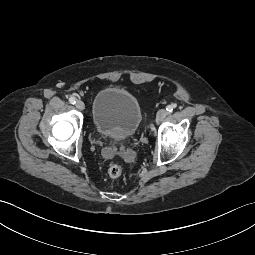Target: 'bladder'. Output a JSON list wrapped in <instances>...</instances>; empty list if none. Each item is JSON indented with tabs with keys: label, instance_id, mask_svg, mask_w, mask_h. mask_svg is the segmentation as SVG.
Masks as SVG:
<instances>
[{
	"label": "bladder",
	"instance_id": "1",
	"mask_svg": "<svg viewBox=\"0 0 255 255\" xmlns=\"http://www.w3.org/2000/svg\"><path fill=\"white\" fill-rule=\"evenodd\" d=\"M95 130L113 140L131 137L142 122V110L137 98L119 87L100 90L92 105Z\"/></svg>",
	"mask_w": 255,
	"mask_h": 255
}]
</instances>
